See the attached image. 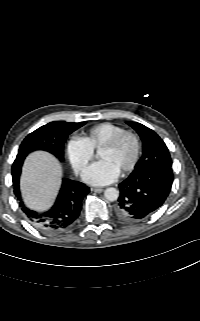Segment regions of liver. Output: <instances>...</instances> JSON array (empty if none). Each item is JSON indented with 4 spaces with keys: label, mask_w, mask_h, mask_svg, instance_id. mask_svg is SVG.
Returning <instances> with one entry per match:
<instances>
[{
    "label": "liver",
    "mask_w": 200,
    "mask_h": 321,
    "mask_svg": "<svg viewBox=\"0 0 200 321\" xmlns=\"http://www.w3.org/2000/svg\"><path fill=\"white\" fill-rule=\"evenodd\" d=\"M61 165L49 153L37 151L25 161L21 190L26 204L35 210L47 208L60 184Z\"/></svg>",
    "instance_id": "obj_1"
}]
</instances>
